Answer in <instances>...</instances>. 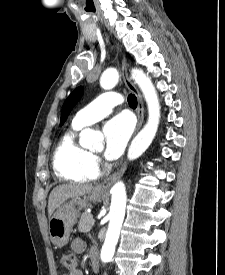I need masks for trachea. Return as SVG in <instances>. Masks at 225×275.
<instances>
[{
	"instance_id": "1",
	"label": "trachea",
	"mask_w": 225,
	"mask_h": 275,
	"mask_svg": "<svg viewBox=\"0 0 225 275\" xmlns=\"http://www.w3.org/2000/svg\"><path fill=\"white\" fill-rule=\"evenodd\" d=\"M128 104L133 107V108H136L137 107V98L135 95L133 94H130L128 95Z\"/></svg>"
}]
</instances>
